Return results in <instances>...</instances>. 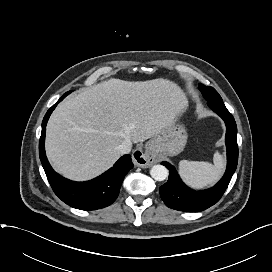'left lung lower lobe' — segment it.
<instances>
[{"mask_svg":"<svg viewBox=\"0 0 272 272\" xmlns=\"http://www.w3.org/2000/svg\"><path fill=\"white\" fill-rule=\"evenodd\" d=\"M209 107L216 112L226 124L227 168L221 180L212 188L195 191L187 187L180 179L175 168L168 162H162L169 169L168 182L160 187V195L164 203L175 210L185 212L203 211L217 203L236 170L238 162L237 126L232 114L223 102H210Z\"/></svg>","mask_w":272,"mask_h":272,"instance_id":"obj_1","label":"left lung lower lobe"}]
</instances>
